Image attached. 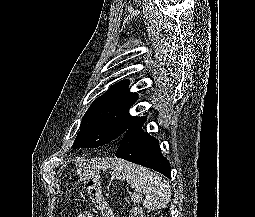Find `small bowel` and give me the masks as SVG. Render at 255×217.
I'll return each instance as SVG.
<instances>
[{"label":"small bowel","mask_w":255,"mask_h":217,"mask_svg":"<svg viewBox=\"0 0 255 217\" xmlns=\"http://www.w3.org/2000/svg\"><path fill=\"white\" fill-rule=\"evenodd\" d=\"M105 209L107 210L106 213L101 211L103 217H111V210L107 204L105 206ZM77 217H93V214L90 211H82L77 215Z\"/></svg>","instance_id":"small-bowel-1"}]
</instances>
